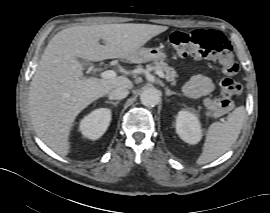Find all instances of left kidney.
I'll use <instances>...</instances> for the list:
<instances>
[{
	"label": "left kidney",
	"mask_w": 270,
	"mask_h": 213,
	"mask_svg": "<svg viewBox=\"0 0 270 213\" xmlns=\"http://www.w3.org/2000/svg\"><path fill=\"white\" fill-rule=\"evenodd\" d=\"M176 132L183 141L189 144H196L202 138L201 123L198 117L186 110L178 112L176 117Z\"/></svg>",
	"instance_id": "5707ae66"
}]
</instances>
